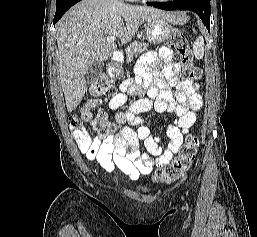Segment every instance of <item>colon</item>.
<instances>
[{"mask_svg": "<svg viewBox=\"0 0 257 237\" xmlns=\"http://www.w3.org/2000/svg\"><path fill=\"white\" fill-rule=\"evenodd\" d=\"M170 47L176 52V61L183 66V76L191 81L199 80L202 76V71L199 67L192 64L193 53L186 37L180 32H174L171 36ZM90 93L93 99L86 106L90 109L91 113L89 121L101 139L113 137L116 131L115 125L108 120L106 112L99 109L96 110L98 101L101 98L112 97L115 93L111 79L105 75L99 76L93 83ZM69 125L77 142L83 148L88 147L91 143V137L82 126L80 118L71 116L69 118ZM198 145V137L193 134L188 135L179 155L170 163L158 169L154 180L157 183H172L179 179L194 161Z\"/></svg>", "mask_w": 257, "mask_h": 237, "instance_id": "1", "label": "colon"}]
</instances>
